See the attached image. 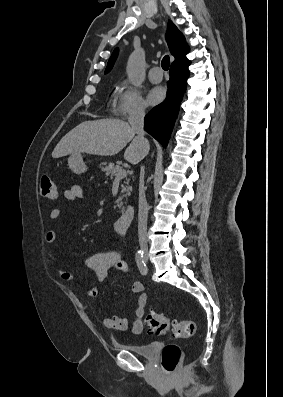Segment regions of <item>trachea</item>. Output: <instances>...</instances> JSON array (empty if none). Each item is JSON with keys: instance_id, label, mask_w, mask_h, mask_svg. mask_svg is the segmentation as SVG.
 <instances>
[{"instance_id": "1", "label": "trachea", "mask_w": 283, "mask_h": 397, "mask_svg": "<svg viewBox=\"0 0 283 397\" xmlns=\"http://www.w3.org/2000/svg\"><path fill=\"white\" fill-rule=\"evenodd\" d=\"M161 66H162V69L165 70V71H167V70L169 69V66H170V58H169L168 55H166V56L162 59Z\"/></svg>"}]
</instances>
